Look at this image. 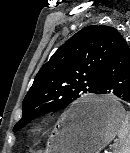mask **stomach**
I'll return each mask as SVG.
<instances>
[{"label": "stomach", "mask_w": 130, "mask_h": 153, "mask_svg": "<svg viewBox=\"0 0 130 153\" xmlns=\"http://www.w3.org/2000/svg\"><path fill=\"white\" fill-rule=\"evenodd\" d=\"M80 108L92 112L78 119L75 111ZM125 114L122 105L112 96L78 101L60 127L51 134L48 153H99L115 138Z\"/></svg>", "instance_id": "stomach-1"}]
</instances>
